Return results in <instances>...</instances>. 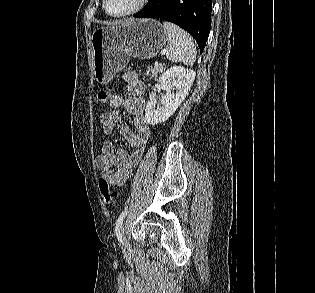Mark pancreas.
<instances>
[{"mask_svg": "<svg viewBox=\"0 0 315 293\" xmlns=\"http://www.w3.org/2000/svg\"><path fill=\"white\" fill-rule=\"evenodd\" d=\"M165 70V67L162 65H158V66H151L148 67L147 71L145 72V75L150 76L151 78L153 77H157L158 73H162Z\"/></svg>", "mask_w": 315, "mask_h": 293, "instance_id": "1", "label": "pancreas"}]
</instances>
